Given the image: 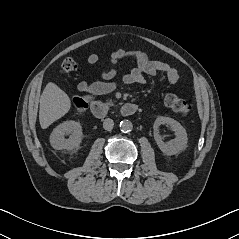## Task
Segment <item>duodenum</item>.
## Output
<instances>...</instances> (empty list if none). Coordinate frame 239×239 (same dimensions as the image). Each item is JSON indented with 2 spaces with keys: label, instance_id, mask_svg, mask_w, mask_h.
Listing matches in <instances>:
<instances>
[{
  "label": "duodenum",
  "instance_id": "duodenum-1",
  "mask_svg": "<svg viewBox=\"0 0 239 239\" xmlns=\"http://www.w3.org/2000/svg\"><path fill=\"white\" fill-rule=\"evenodd\" d=\"M138 105L134 103H125L120 107V114L123 116H131L138 111ZM91 112L94 117L98 119H103L108 114L107 105L100 102H92L91 104Z\"/></svg>",
  "mask_w": 239,
  "mask_h": 239
}]
</instances>
